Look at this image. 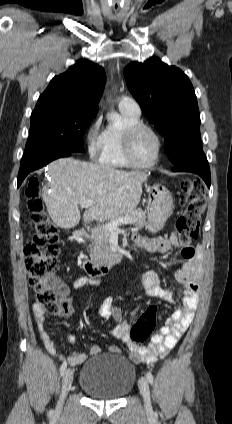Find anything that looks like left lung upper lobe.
Here are the masks:
<instances>
[{
    "instance_id": "5c2ea615",
    "label": "left lung upper lobe",
    "mask_w": 232,
    "mask_h": 424,
    "mask_svg": "<svg viewBox=\"0 0 232 424\" xmlns=\"http://www.w3.org/2000/svg\"><path fill=\"white\" fill-rule=\"evenodd\" d=\"M124 74L144 114L164 136L175 165L189 147L201 141L197 98L189 78L156 57L128 64Z\"/></svg>"
}]
</instances>
